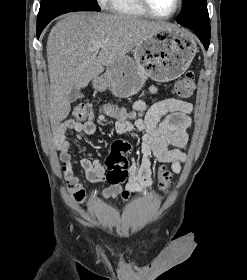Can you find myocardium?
Segmentation results:
<instances>
[{
  "label": "myocardium",
  "instance_id": "obj_1",
  "mask_svg": "<svg viewBox=\"0 0 247 280\" xmlns=\"http://www.w3.org/2000/svg\"><path fill=\"white\" fill-rule=\"evenodd\" d=\"M139 3L141 5V7L144 9V11L154 17V18H157V19H171L173 18L177 13L178 11L180 10L181 8V5H182V0H176V5H175V8L173 9L172 12H170L169 14L167 15H160V14H157L150 6L149 4V1L148 0H139Z\"/></svg>",
  "mask_w": 247,
  "mask_h": 280
}]
</instances>
